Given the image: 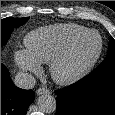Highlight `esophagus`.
<instances>
[{
  "label": "esophagus",
  "instance_id": "esophagus-1",
  "mask_svg": "<svg viewBox=\"0 0 115 115\" xmlns=\"http://www.w3.org/2000/svg\"><path fill=\"white\" fill-rule=\"evenodd\" d=\"M37 95H42V94H49L50 91L46 88H39L37 91H36Z\"/></svg>",
  "mask_w": 115,
  "mask_h": 115
}]
</instances>
